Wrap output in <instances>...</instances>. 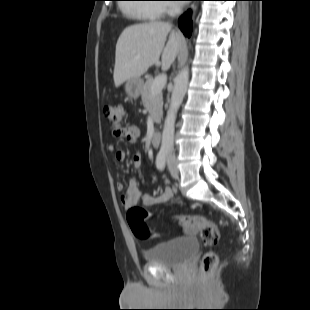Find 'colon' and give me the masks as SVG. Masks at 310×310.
<instances>
[{
    "instance_id": "1",
    "label": "colon",
    "mask_w": 310,
    "mask_h": 310,
    "mask_svg": "<svg viewBox=\"0 0 310 310\" xmlns=\"http://www.w3.org/2000/svg\"><path fill=\"white\" fill-rule=\"evenodd\" d=\"M125 107L122 104L107 105L103 109L106 121L113 127V129L121 128L122 119L125 115ZM148 217L147 211L140 207L133 205L127 212V222L135 236L141 239H150L157 237L158 234L149 229L146 224ZM172 221L183 225L190 232L198 230L202 242L206 246H214L218 243L220 233L215 223L195 216H174ZM217 265V255L213 251H208L202 258V274L204 276L210 275Z\"/></svg>"
}]
</instances>
